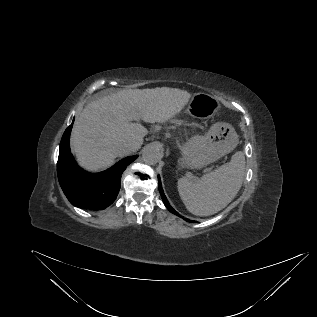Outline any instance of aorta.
<instances>
[{"mask_svg":"<svg viewBox=\"0 0 317 317\" xmlns=\"http://www.w3.org/2000/svg\"><path fill=\"white\" fill-rule=\"evenodd\" d=\"M142 158L146 164L155 165L159 162L161 153L156 146L148 145L143 150Z\"/></svg>","mask_w":317,"mask_h":317,"instance_id":"obj_1","label":"aorta"}]
</instances>
